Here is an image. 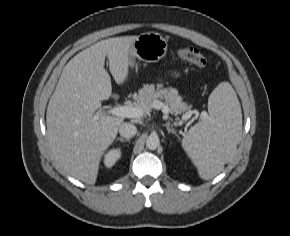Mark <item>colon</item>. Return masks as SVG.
Instances as JSON below:
<instances>
[{
	"instance_id": "colon-1",
	"label": "colon",
	"mask_w": 290,
	"mask_h": 236,
	"mask_svg": "<svg viewBox=\"0 0 290 236\" xmlns=\"http://www.w3.org/2000/svg\"><path fill=\"white\" fill-rule=\"evenodd\" d=\"M178 55L183 60L188 61L199 68H204L207 66V59L205 55L196 48H182L178 51Z\"/></svg>"
}]
</instances>
